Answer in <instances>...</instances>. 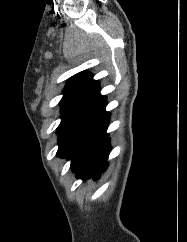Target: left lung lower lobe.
Segmentation results:
<instances>
[{
    "mask_svg": "<svg viewBox=\"0 0 187 242\" xmlns=\"http://www.w3.org/2000/svg\"><path fill=\"white\" fill-rule=\"evenodd\" d=\"M109 117L107 113L99 119L76 141L67 154L77 178L98 180L105 171L111 150L110 138L106 133Z\"/></svg>",
    "mask_w": 187,
    "mask_h": 242,
    "instance_id": "left-lung-lower-lobe-1",
    "label": "left lung lower lobe"
}]
</instances>
